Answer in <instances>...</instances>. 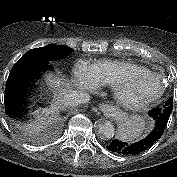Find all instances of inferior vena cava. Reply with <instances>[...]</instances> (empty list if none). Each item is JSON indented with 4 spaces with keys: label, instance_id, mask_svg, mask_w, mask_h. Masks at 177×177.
Wrapping results in <instances>:
<instances>
[{
    "label": "inferior vena cava",
    "instance_id": "602c4592",
    "mask_svg": "<svg viewBox=\"0 0 177 177\" xmlns=\"http://www.w3.org/2000/svg\"><path fill=\"white\" fill-rule=\"evenodd\" d=\"M90 100V95L86 92L83 91H69L68 93H66L61 102L65 105V106H76L79 104H84L89 102Z\"/></svg>",
    "mask_w": 177,
    "mask_h": 177
}]
</instances>
